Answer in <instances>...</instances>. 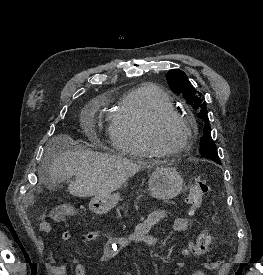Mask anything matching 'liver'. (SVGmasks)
<instances>
[{
  "mask_svg": "<svg viewBox=\"0 0 263 275\" xmlns=\"http://www.w3.org/2000/svg\"><path fill=\"white\" fill-rule=\"evenodd\" d=\"M75 142L68 135L52 138L46 155L54 152L51 163L42 165L53 185L74 177L68 191L77 197H105L119 189L147 164L90 150H72Z\"/></svg>",
  "mask_w": 263,
  "mask_h": 275,
  "instance_id": "liver-1",
  "label": "liver"
}]
</instances>
